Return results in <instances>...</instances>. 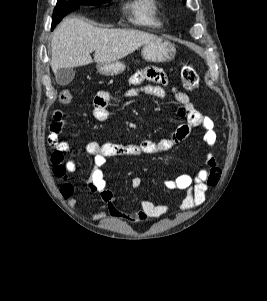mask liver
Wrapping results in <instances>:
<instances>
[{
    "label": "liver",
    "mask_w": 267,
    "mask_h": 301,
    "mask_svg": "<svg viewBox=\"0 0 267 301\" xmlns=\"http://www.w3.org/2000/svg\"><path fill=\"white\" fill-rule=\"evenodd\" d=\"M158 36L127 29H101L79 17L66 18L51 38V68L56 74L60 68H73L93 62L97 64L118 61L140 46L151 43Z\"/></svg>",
    "instance_id": "obj_1"
}]
</instances>
